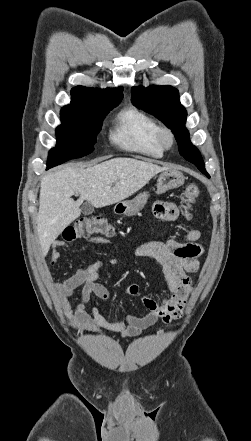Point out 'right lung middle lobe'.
<instances>
[{
	"label": "right lung middle lobe",
	"mask_w": 251,
	"mask_h": 441,
	"mask_svg": "<svg viewBox=\"0 0 251 441\" xmlns=\"http://www.w3.org/2000/svg\"><path fill=\"white\" fill-rule=\"evenodd\" d=\"M119 103L89 100L76 111L61 112L62 123L56 129L57 144L49 152L47 169L91 153L103 118Z\"/></svg>",
	"instance_id": "dd1d6c3e"
}]
</instances>
